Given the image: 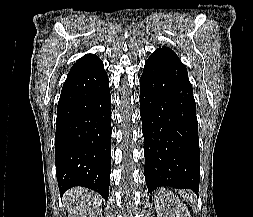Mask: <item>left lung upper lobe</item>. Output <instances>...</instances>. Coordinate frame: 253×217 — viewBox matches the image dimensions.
<instances>
[{
    "mask_svg": "<svg viewBox=\"0 0 253 217\" xmlns=\"http://www.w3.org/2000/svg\"><path fill=\"white\" fill-rule=\"evenodd\" d=\"M155 52L169 57L174 62H176L177 64H179L180 66H182L183 68L186 69V67L184 66V64L180 61V59L178 58V56L171 49H169L167 47H162V48H158Z\"/></svg>",
    "mask_w": 253,
    "mask_h": 217,
    "instance_id": "5c2ea615",
    "label": "left lung upper lobe"
}]
</instances>
